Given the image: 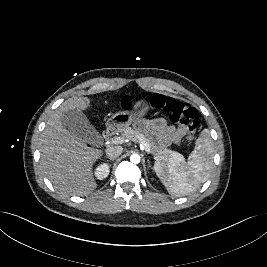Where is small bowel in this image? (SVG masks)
Masks as SVG:
<instances>
[{
	"instance_id": "small-bowel-1",
	"label": "small bowel",
	"mask_w": 267,
	"mask_h": 267,
	"mask_svg": "<svg viewBox=\"0 0 267 267\" xmlns=\"http://www.w3.org/2000/svg\"><path fill=\"white\" fill-rule=\"evenodd\" d=\"M137 128L162 145L177 144L186 133L183 125H167L162 119L141 120Z\"/></svg>"
}]
</instances>
